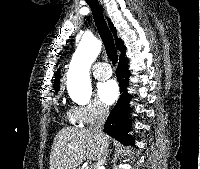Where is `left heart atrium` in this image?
Segmentation results:
<instances>
[{"label": "left heart atrium", "mask_w": 200, "mask_h": 169, "mask_svg": "<svg viewBox=\"0 0 200 169\" xmlns=\"http://www.w3.org/2000/svg\"><path fill=\"white\" fill-rule=\"evenodd\" d=\"M119 89L115 80H109L99 85L98 95L100 100L106 104H113L118 98Z\"/></svg>", "instance_id": "left-heart-atrium-1"}]
</instances>
